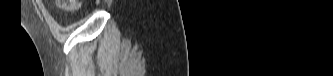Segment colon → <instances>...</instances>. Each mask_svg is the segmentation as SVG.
I'll return each mask as SVG.
<instances>
[{"instance_id": "1", "label": "colon", "mask_w": 333, "mask_h": 76, "mask_svg": "<svg viewBox=\"0 0 333 76\" xmlns=\"http://www.w3.org/2000/svg\"><path fill=\"white\" fill-rule=\"evenodd\" d=\"M57 6L62 10L73 11L79 7V0H57Z\"/></svg>"}]
</instances>
